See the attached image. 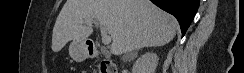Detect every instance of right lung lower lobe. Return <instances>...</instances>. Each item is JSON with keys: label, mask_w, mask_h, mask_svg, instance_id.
I'll return each instance as SVG.
<instances>
[{"label": "right lung lower lobe", "mask_w": 244, "mask_h": 73, "mask_svg": "<svg viewBox=\"0 0 244 73\" xmlns=\"http://www.w3.org/2000/svg\"><path fill=\"white\" fill-rule=\"evenodd\" d=\"M161 9L174 15L181 26L182 36L185 35L192 22L200 0H150Z\"/></svg>", "instance_id": "98d812e1"}]
</instances>
